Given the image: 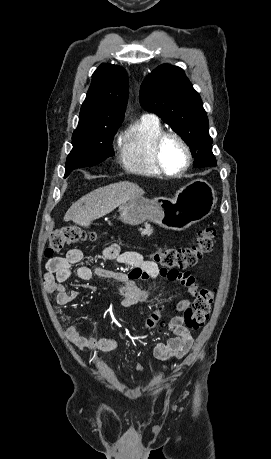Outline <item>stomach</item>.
I'll return each instance as SVG.
<instances>
[{
	"instance_id": "1",
	"label": "stomach",
	"mask_w": 271,
	"mask_h": 459,
	"mask_svg": "<svg viewBox=\"0 0 271 459\" xmlns=\"http://www.w3.org/2000/svg\"><path fill=\"white\" fill-rule=\"evenodd\" d=\"M216 204L215 192L205 180H194L176 192L174 198H132L119 206L121 222L138 226L151 220L166 229L189 228L210 216Z\"/></svg>"
}]
</instances>
